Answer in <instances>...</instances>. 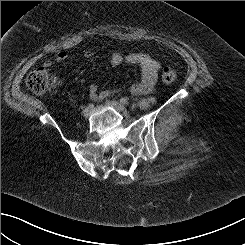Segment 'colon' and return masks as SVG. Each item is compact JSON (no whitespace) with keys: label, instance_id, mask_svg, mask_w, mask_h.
<instances>
[{"label":"colon","instance_id":"colon-1","mask_svg":"<svg viewBox=\"0 0 245 245\" xmlns=\"http://www.w3.org/2000/svg\"><path fill=\"white\" fill-rule=\"evenodd\" d=\"M161 79L164 84L170 85L176 81L177 73L174 69L166 67L162 70ZM51 81L50 70L43 65L27 76L26 86L36 94H43L48 90Z\"/></svg>","mask_w":245,"mask_h":245}]
</instances>
